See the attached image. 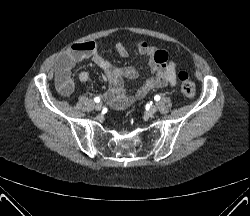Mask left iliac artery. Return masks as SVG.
<instances>
[{
  "label": "left iliac artery",
  "mask_w": 250,
  "mask_h": 216,
  "mask_svg": "<svg viewBox=\"0 0 250 216\" xmlns=\"http://www.w3.org/2000/svg\"><path fill=\"white\" fill-rule=\"evenodd\" d=\"M154 99H155V101H159L160 100V96L159 95H155Z\"/></svg>",
  "instance_id": "44dca946"
}]
</instances>
